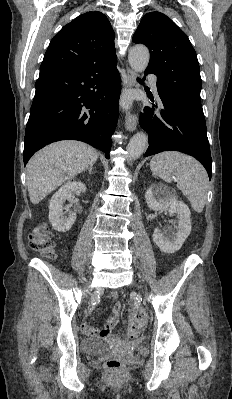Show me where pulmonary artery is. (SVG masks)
<instances>
[{
  "label": "pulmonary artery",
  "mask_w": 232,
  "mask_h": 399,
  "mask_svg": "<svg viewBox=\"0 0 232 399\" xmlns=\"http://www.w3.org/2000/svg\"><path fill=\"white\" fill-rule=\"evenodd\" d=\"M152 83H153V85H155V83H156V79L155 78L152 79Z\"/></svg>",
  "instance_id": "pulmonary-artery-1"
}]
</instances>
